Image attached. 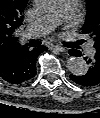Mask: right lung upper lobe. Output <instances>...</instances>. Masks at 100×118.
Returning a JSON list of instances; mask_svg holds the SVG:
<instances>
[{
  "mask_svg": "<svg viewBox=\"0 0 100 118\" xmlns=\"http://www.w3.org/2000/svg\"><path fill=\"white\" fill-rule=\"evenodd\" d=\"M28 0H0V62L16 56L21 46L15 30L23 24V10Z\"/></svg>",
  "mask_w": 100,
  "mask_h": 118,
  "instance_id": "cb5924a9",
  "label": "right lung upper lobe"
}]
</instances>
